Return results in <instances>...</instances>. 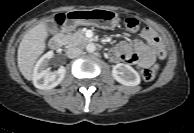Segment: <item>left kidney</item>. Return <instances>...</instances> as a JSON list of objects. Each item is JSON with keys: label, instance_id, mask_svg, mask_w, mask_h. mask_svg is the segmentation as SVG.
Listing matches in <instances>:
<instances>
[{"label": "left kidney", "instance_id": "1", "mask_svg": "<svg viewBox=\"0 0 194 133\" xmlns=\"http://www.w3.org/2000/svg\"><path fill=\"white\" fill-rule=\"evenodd\" d=\"M113 78L125 86H137L140 84V76L130 65L119 63L113 67Z\"/></svg>", "mask_w": 194, "mask_h": 133}]
</instances>
